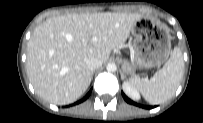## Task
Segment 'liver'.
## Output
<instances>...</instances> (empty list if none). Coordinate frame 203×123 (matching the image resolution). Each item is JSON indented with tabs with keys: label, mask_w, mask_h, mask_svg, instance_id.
Masks as SVG:
<instances>
[{
	"label": "liver",
	"mask_w": 203,
	"mask_h": 123,
	"mask_svg": "<svg viewBox=\"0 0 203 123\" xmlns=\"http://www.w3.org/2000/svg\"><path fill=\"white\" fill-rule=\"evenodd\" d=\"M142 19L138 13L68 14L38 25L27 44V75L36 93L48 102L66 105L89 87L90 58L106 62Z\"/></svg>",
	"instance_id": "6515ba94"
}]
</instances>
